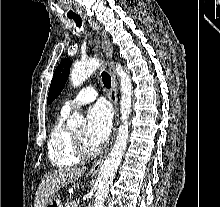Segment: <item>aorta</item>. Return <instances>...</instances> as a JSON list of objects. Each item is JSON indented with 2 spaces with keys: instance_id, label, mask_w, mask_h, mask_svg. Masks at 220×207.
Wrapping results in <instances>:
<instances>
[{
  "instance_id": "aorta-1",
  "label": "aorta",
  "mask_w": 220,
  "mask_h": 207,
  "mask_svg": "<svg viewBox=\"0 0 220 207\" xmlns=\"http://www.w3.org/2000/svg\"><path fill=\"white\" fill-rule=\"evenodd\" d=\"M100 66V61L96 58H91L87 61L77 62L73 66L70 74L72 86H80L87 78H89ZM114 69L120 78V113L121 123L118 128V134L116 136L113 147L108 154L107 158L103 162L97 182L94 207H104V203L108 196L109 188L112 184L114 176L117 172L119 165L121 164L124 156L127 141L129 137V118L132 107V83L130 76L120 64H116ZM86 120L79 112L74 111L67 121V127L69 129H76L84 127Z\"/></svg>"
}]
</instances>
